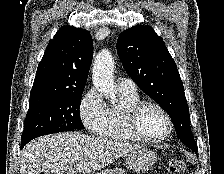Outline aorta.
I'll return each instance as SVG.
<instances>
[{
	"instance_id": "obj_1",
	"label": "aorta",
	"mask_w": 224,
	"mask_h": 174,
	"mask_svg": "<svg viewBox=\"0 0 224 174\" xmlns=\"http://www.w3.org/2000/svg\"><path fill=\"white\" fill-rule=\"evenodd\" d=\"M114 60L108 50H102L95 58L92 70L94 86L112 103L117 101V89L113 78Z\"/></svg>"
}]
</instances>
